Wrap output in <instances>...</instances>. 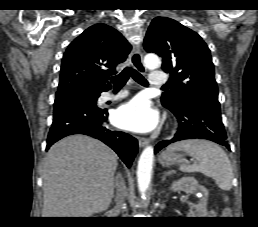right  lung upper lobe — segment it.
Here are the masks:
<instances>
[{"mask_svg": "<svg viewBox=\"0 0 258 227\" xmlns=\"http://www.w3.org/2000/svg\"><path fill=\"white\" fill-rule=\"evenodd\" d=\"M130 50L131 45L114 28L106 24L89 27L63 56L57 92L73 88L108 90V77L116 73V65L126 60Z\"/></svg>", "mask_w": 258, "mask_h": 227, "instance_id": "1", "label": "right lung upper lobe"}]
</instances>
